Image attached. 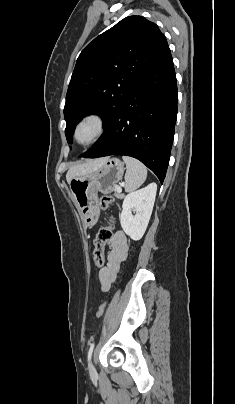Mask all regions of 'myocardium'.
Returning <instances> with one entry per match:
<instances>
[{"instance_id":"f54148a6","label":"myocardium","mask_w":235,"mask_h":404,"mask_svg":"<svg viewBox=\"0 0 235 404\" xmlns=\"http://www.w3.org/2000/svg\"><path fill=\"white\" fill-rule=\"evenodd\" d=\"M87 127L92 129V133L89 137L82 138L81 132ZM105 129L106 121L104 116L97 112H90L82 116L77 122L73 132V139L79 146L87 147L100 139Z\"/></svg>"}]
</instances>
